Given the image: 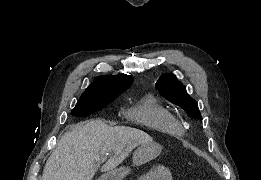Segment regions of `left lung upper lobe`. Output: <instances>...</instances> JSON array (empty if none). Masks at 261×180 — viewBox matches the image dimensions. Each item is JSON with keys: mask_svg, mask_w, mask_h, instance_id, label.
I'll return each mask as SVG.
<instances>
[{"mask_svg": "<svg viewBox=\"0 0 261 180\" xmlns=\"http://www.w3.org/2000/svg\"><path fill=\"white\" fill-rule=\"evenodd\" d=\"M155 87L163 97L180 106L192 116L201 118L196 101L187 94L185 86L173 74L160 77Z\"/></svg>", "mask_w": 261, "mask_h": 180, "instance_id": "5c2ea615", "label": "left lung upper lobe"}]
</instances>
